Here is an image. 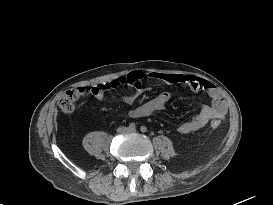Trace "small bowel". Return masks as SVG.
Listing matches in <instances>:
<instances>
[{
	"label": "small bowel",
	"mask_w": 273,
	"mask_h": 205,
	"mask_svg": "<svg viewBox=\"0 0 273 205\" xmlns=\"http://www.w3.org/2000/svg\"><path fill=\"white\" fill-rule=\"evenodd\" d=\"M147 81L167 83V84H186L192 93L206 92L211 98L210 105H203L199 112L190 120L179 126V132L190 133L204 127L211 119H223L227 114V103L221 92L214 84L209 81L185 74H176L169 72L145 73L140 70L132 71L124 77H117L107 82L98 83L91 87L92 96L103 101L105 93L128 85L133 87L134 91L124 97L126 103H133L137 97L144 91L143 84ZM174 97L171 91H163L153 99L137 106L131 110L133 117H147L155 112L165 109L167 103Z\"/></svg>",
	"instance_id": "obj_1"
}]
</instances>
